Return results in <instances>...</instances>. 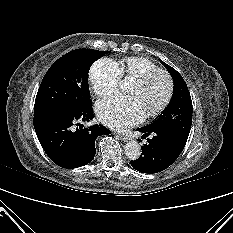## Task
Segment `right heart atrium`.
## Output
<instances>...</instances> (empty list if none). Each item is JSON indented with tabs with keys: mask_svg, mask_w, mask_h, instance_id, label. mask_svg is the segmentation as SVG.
<instances>
[{
	"mask_svg": "<svg viewBox=\"0 0 233 233\" xmlns=\"http://www.w3.org/2000/svg\"><path fill=\"white\" fill-rule=\"evenodd\" d=\"M121 76L116 63L108 58L94 62L89 70V80L94 93L105 97L117 91Z\"/></svg>",
	"mask_w": 233,
	"mask_h": 233,
	"instance_id": "d8ad5b80",
	"label": "right heart atrium"
}]
</instances>
